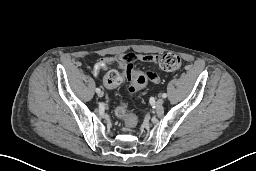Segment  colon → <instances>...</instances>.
I'll return each instance as SVG.
<instances>
[{
	"mask_svg": "<svg viewBox=\"0 0 256 171\" xmlns=\"http://www.w3.org/2000/svg\"><path fill=\"white\" fill-rule=\"evenodd\" d=\"M159 65L163 70L173 71L180 67V57L173 53H165L158 59ZM106 81L108 84L119 86L126 81L130 82L129 91L135 92L136 90L144 87L147 83L146 75L141 70H134L131 65H128L122 71L111 70L106 74ZM115 116L123 120L127 127H133L136 124V117L129 112L125 103L119 104L114 110Z\"/></svg>",
	"mask_w": 256,
	"mask_h": 171,
	"instance_id": "colon-1",
	"label": "colon"
}]
</instances>
